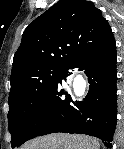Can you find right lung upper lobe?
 I'll return each instance as SVG.
<instances>
[{
    "label": "right lung upper lobe",
    "instance_id": "1",
    "mask_svg": "<svg viewBox=\"0 0 124 149\" xmlns=\"http://www.w3.org/2000/svg\"><path fill=\"white\" fill-rule=\"evenodd\" d=\"M112 38L107 20L91 1L60 0L24 31L13 58L11 87L36 70L64 68Z\"/></svg>",
    "mask_w": 124,
    "mask_h": 149
}]
</instances>
